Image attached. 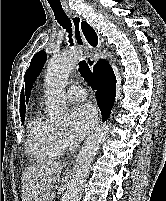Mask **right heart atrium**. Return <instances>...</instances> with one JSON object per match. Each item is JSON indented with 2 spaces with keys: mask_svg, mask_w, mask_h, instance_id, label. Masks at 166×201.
<instances>
[{
  "mask_svg": "<svg viewBox=\"0 0 166 201\" xmlns=\"http://www.w3.org/2000/svg\"><path fill=\"white\" fill-rule=\"evenodd\" d=\"M57 138L62 150L66 149L69 146V140L64 132L58 131Z\"/></svg>",
  "mask_w": 166,
  "mask_h": 201,
  "instance_id": "right-heart-atrium-1",
  "label": "right heart atrium"
}]
</instances>
